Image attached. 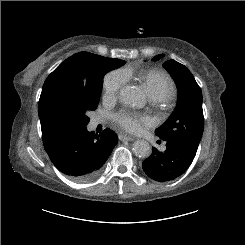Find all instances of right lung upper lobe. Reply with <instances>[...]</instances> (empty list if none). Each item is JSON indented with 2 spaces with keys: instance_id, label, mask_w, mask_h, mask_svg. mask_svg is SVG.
I'll list each match as a JSON object with an SVG mask.
<instances>
[{
  "instance_id": "obj_1",
  "label": "right lung upper lobe",
  "mask_w": 245,
  "mask_h": 245,
  "mask_svg": "<svg viewBox=\"0 0 245 245\" xmlns=\"http://www.w3.org/2000/svg\"><path fill=\"white\" fill-rule=\"evenodd\" d=\"M88 54V52H81L66 59L47 77L43 86L53 80H64L72 87L89 88L91 78L83 63ZM41 130L45 149L64 136L51 131L43 121H41Z\"/></svg>"
}]
</instances>
